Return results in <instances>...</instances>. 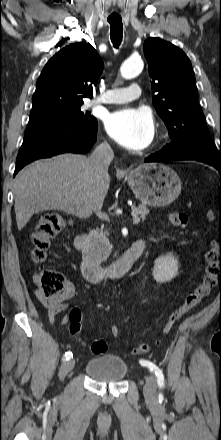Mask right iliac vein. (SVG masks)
Instances as JSON below:
<instances>
[{"label": "right iliac vein", "instance_id": "obj_1", "mask_svg": "<svg viewBox=\"0 0 221 440\" xmlns=\"http://www.w3.org/2000/svg\"><path fill=\"white\" fill-rule=\"evenodd\" d=\"M75 365V361L73 359L64 362L59 371V378L63 380L65 376L70 372Z\"/></svg>", "mask_w": 221, "mask_h": 440}]
</instances>
